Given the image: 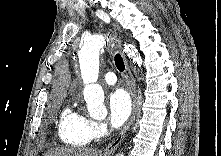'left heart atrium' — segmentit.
Returning <instances> with one entry per match:
<instances>
[{
	"label": "left heart atrium",
	"mask_w": 221,
	"mask_h": 156,
	"mask_svg": "<svg viewBox=\"0 0 221 156\" xmlns=\"http://www.w3.org/2000/svg\"><path fill=\"white\" fill-rule=\"evenodd\" d=\"M109 120L114 128L121 127L129 118L132 102L129 94L123 89L113 91L108 99Z\"/></svg>",
	"instance_id": "39dd6f15"
}]
</instances>
